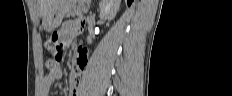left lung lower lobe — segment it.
<instances>
[{
  "label": "left lung lower lobe",
  "instance_id": "1",
  "mask_svg": "<svg viewBox=\"0 0 232 96\" xmlns=\"http://www.w3.org/2000/svg\"><path fill=\"white\" fill-rule=\"evenodd\" d=\"M133 0H127L128 5H130L132 3Z\"/></svg>",
  "mask_w": 232,
  "mask_h": 96
}]
</instances>
